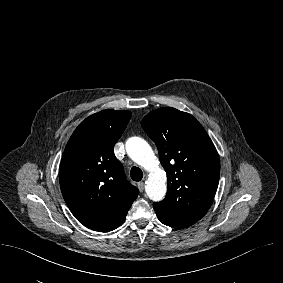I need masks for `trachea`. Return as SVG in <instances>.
Wrapping results in <instances>:
<instances>
[{
	"label": "trachea",
	"mask_w": 283,
	"mask_h": 283,
	"mask_svg": "<svg viewBox=\"0 0 283 283\" xmlns=\"http://www.w3.org/2000/svg\"><path fill=\"white\" fill-rule=\"evenodd\" d=\"M130 176L133 181H140L143 177V172L138 167H132L130 171Z\"/></svg>",
	"instance_id": "1"
}]
</instances>
